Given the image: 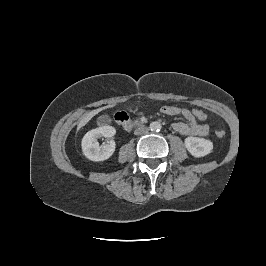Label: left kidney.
<instances>
[{"mask_svg": "<svg viewBox=\"0 0 266 266\" xmlns=\"http://www.w3.org/2000/svg\"><path fill=\"white\" fill-rule=\"evenodd\" d=\"M185 147L194 157H203L209 154L213 149V143L210 140L198 137H187Z\"/></svg>", "mask_w": 266, "mask_h": 266, "instance_id": "obj_1", "label": "left kidney"}]
</instances>
